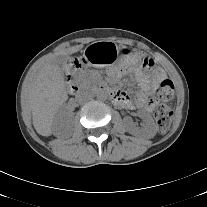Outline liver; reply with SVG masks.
Listing matches in <instances>:
<instances>
[{"mask_svg": "<svg viewBox=\"0 0 207 207\" xmlns=\"http://www.w3.org/2000/svg\"><path fill=\"white\" fill-rule=\"evenodd\" d=\"M82 47L76 45L48 57L29 73L24 83L23 95L31 107L34 128L42 136L52 134L55 115L67 100L63 69L56 57L71 55Z\"/></svg>", "mask_w": 207, "mask_h": 207, "instance_id": "liver-1", "label": "liver"}]
</instances>
